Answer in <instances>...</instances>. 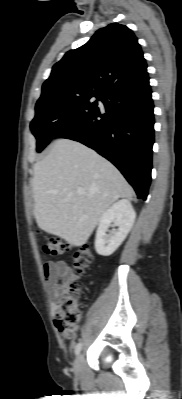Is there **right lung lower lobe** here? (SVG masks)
Instances as JSON below:
<instances>
[{
  "mask_svg": "<svg viewBox=\"0 0 182 399\" xmlns=\"http://www.w3.org/2000/svg\"><path fill=\"white\" fill-rule=\"evenodd\" d=\"M149 77L123 83L102 98L106 114L100 111L86 122L60 133L85 144L111 161L145 200L151 181L154 115Z\"/></svg>",
  "mask_w": 182,
  "mask_h": 399,
  "instance_id": "right-lung-lower-lobe-1",
  "label": "right lung lower lobe"
}]
</instances>
